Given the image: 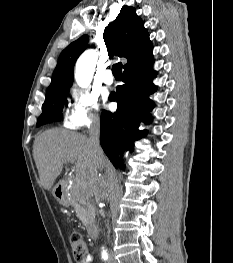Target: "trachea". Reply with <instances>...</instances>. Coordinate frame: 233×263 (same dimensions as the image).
<instances>
[{"instance_id": "3493384b", "label": "trachea", "mask_w": 233, "mask_h": 263, "mask_svg": "<svg viewBox=\"0 0 233 263\" xmlns=\"http://www.w3.org/2000/svg\"><path fill=\"white\" fill-rule=\"evenodd\" d=\"M112 72L115 78H122V63L118 62L113 65Z\"/></svg>"}]
</instances>
